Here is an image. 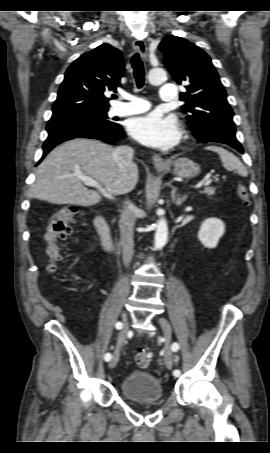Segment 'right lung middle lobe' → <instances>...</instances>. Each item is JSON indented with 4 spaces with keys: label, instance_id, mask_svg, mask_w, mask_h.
I'll list each match as a JSON object with an SVG mask.
<instances>
[{
    "label": "right lung middle lobe",
    "instance_id": "1",
    "mask_svg": "<svg viewBox=\"0 0 270 453\" xmlns=\"http://www.w3.org/2000/svg\"><path fill=\"white\" fill-rule=\"evenodd\" d=\"M107 111L108 110L85 111V112H81V113L74 114V115H71V116L61 117V118H54V119H51V120H55V119H77V120H83V121L92 122V123H95V124L108 125L111 122L108 120Z\"/></svg>",
    "mask_w": 270,
    "mask_h": 453
}]
</instances>
